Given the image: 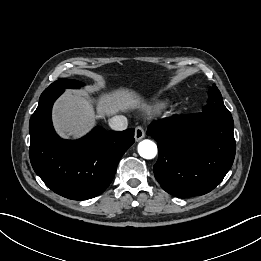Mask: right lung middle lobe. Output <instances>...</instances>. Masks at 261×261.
Listing matches in <instances>:
<instances>
[{
    "label": "right lung middle lobe",
    "mask_w": 261,
    "mask_h": 261,
    "mask_svg": "<svg viewBox=\"0 0 261 261\" xmlns=\"http://www.w3.org/2000/svg\"><path fill=\"white\" fill-rule=\"evenodd\" d=\"M83 84L77 80L59 79L52 83L48 88L52 89H65V88H79Z\"/></svg>",
    "instance_id": "1"
}]
</instances>
